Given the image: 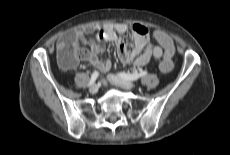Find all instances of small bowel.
I'll list each match as a JSON object with an SVG mask.
<instances>
[{
  "mask_svg": "<svg viewBox=\"0 0 230 155\" xmlns=\"http://www.w3.org/2000/svg\"><path fill=\"white\" fill-rule=\"evenodd\" d=\"M127 27L123 24L115 26H87L79 27L64 35L58 41V45L71 43L74 47L79 44H88L90 56L88 62L91 66L101 72H106L111 68V61L107 58L99 57L102 46L99 42H112L115 44L117 54L123 63L133 62L137 66H145L151 58L160 59L166 52L174 53V44L169 35L161 30H155L153 38L159 45L150 42L149 30L141 24L132 26V37L134 46L131 50L126 47L121 35L125 33ZM95 34L97 41L86 40V35Z\"/></svg>",
  "mask_w": 230,
  "mask_h": 155,
  "instance_id": "small-bowel-1",
  "label": "small bowel"
}]
</instances>
